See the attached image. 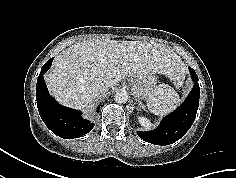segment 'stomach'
I'll use <instances>...</instances> for the list:
<instances>
[{
    "mask_svg": "<svg viewBox=\"0 0 236 178\" xmlns=\"http://www.w3.org/2000/svg\"><path fill=\"white\" fill-rule=\"evenodd\" d=\"M157 83L154 75L138 77L132 81L133 95L138 99H147Z\"/></svg>",
    "mask_w": 236,
    "mask_h": 178,
    "instance_id": "obj_1",
    "label": "stomach"
}]
</instances>
